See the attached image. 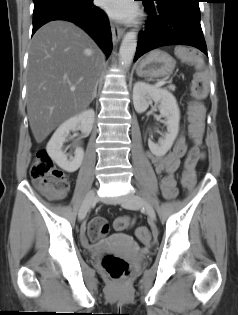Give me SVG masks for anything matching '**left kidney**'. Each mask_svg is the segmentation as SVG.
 Returning <instances> with one entry per match:
<instances>
[{
	"label": "left kidney",
	"mask_w": 238,
	"mask_h": 315,
	"mask_svg": "<svg viewBox=\"0 0 238 315\" xmlns=\"http://www.w3.org/2000/svg\"><path fill=\"white\" fill-rule=\"evenodd\" d=\"M152 101L158 104L160 114L166 120L167 133L158 143H154L149 139L148 146L155 156H163L170 150L178 135L180 110L176 98L169 91L145 82L135 83L133 87V104L136 112H145Z\"/></svg>",
	"instance_id": "left-kidney-1"
}]
</instances>
